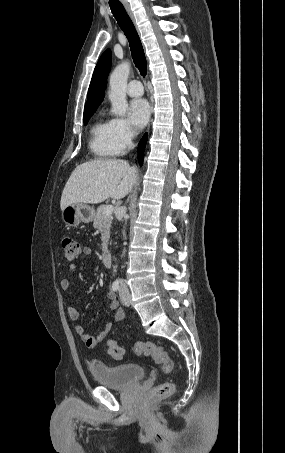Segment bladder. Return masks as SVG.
I'll return each mask as SVG.
<instances>
[{
    "instance_id": "bladder-1",
    "label": "bladder",
    "mask_w": 285,
    "mask_h": 453,
    "mask_svg": "<svg viewBox=\"0 0 285 453\" xmlns=\"http://www.w3.org/2000/svg\"><path fill=\"white\" fill-rule=\"evenodd\" d=\"M89 371L98 384L119 389L133 385L145 375L144 368L136 363L109 366L93 361L89 364Z\"/></svg>"
}]
</instances>
